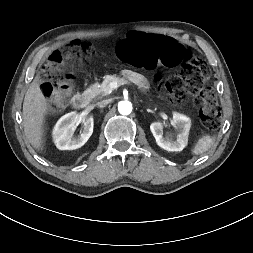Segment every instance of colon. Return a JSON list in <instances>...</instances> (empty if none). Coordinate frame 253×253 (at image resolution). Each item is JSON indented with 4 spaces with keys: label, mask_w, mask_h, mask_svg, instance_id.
Listing matches in <instances>:
<instances>
[{
    "label": "colon",
    "mask_w": 253,
    "mask_h": 253,
    "mask_svg": "<svg viewBox=\"0 0 253 253\" xmlns=\"http://www.w3.org/2000/svg\"><path fill=\"white\" fill-rule=\"evenodd\" d=\"M93 54L94 48L90 44L79 41L70 43L66 51L52 52L40 74L43 94L52 98L56 105L61 104L72 88V77L64 72V64L70 62L81 65ZM117 54L122 61L137 67H176L173 76L163 80L160 74H155L154 81L177 103L182 102L188 94L193 95L203 124L209 129L217 128L220 109L216 96L206 87L209 68L201 58L174 39L139 33L131 34L121 42Z\"/></svg>",
    "instance_id": "1"
}]
</instances>
